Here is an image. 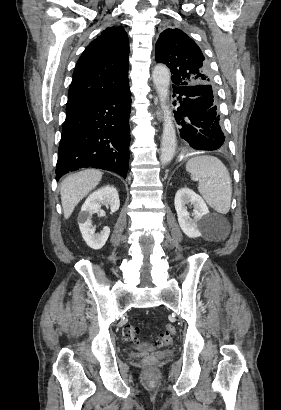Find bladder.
I'll use <instances>...</instances> for the list:
<instances>
[{
    "label": "bladder",
    "instance_id": "bladder-1",
    "mask_svg": "<svg viewBox=\"0 0 281 410\" xmlns=\"http://www.w3.org/2000/svg\"><path fill=\"white\" fill-rule=\"evenodd\" d=\"M136 348L138 350H149L151 349V346L148 344H140V345H137Z\"/></svg>",
    "mask_w": 281,
    "mask_h": 410
}]
</instances>
